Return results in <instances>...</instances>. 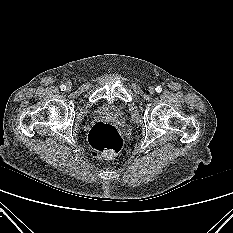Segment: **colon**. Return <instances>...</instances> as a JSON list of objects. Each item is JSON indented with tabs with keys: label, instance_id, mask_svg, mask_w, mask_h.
<instances>
[{
	"label": "colon",
	"instance_id": "obj_1",
	"mask_svg": "<svg viewBox=\"0 0 233 233\" xmlns=\"http://www.w3.org/2000/svg\"><path fill=\"white\" fill-rule=\"evenodd\" d=\"M88 142L95 156L113 157L123 146V140L118 130L104 121L93 125L88 135Z\"/></svg>",
	"mask_w": 233,
	"mask_h": 233
}]
</instances>
